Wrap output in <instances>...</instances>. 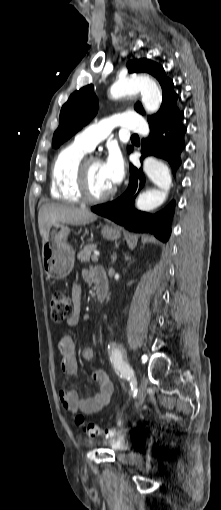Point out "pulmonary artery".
<instances>
[{
	"mask_svg": "<svg viewBox=\"0 0 221 510\" xmlns=\"http://www.w3.org/2000/svg\"><path fill=\"white\" fill-rule=\"evenodd\" d=\"M115 126L138 133L147 132V124L138 113L125 112L89 125L76 135L75 142L91 151Z\"/></svg>",
	"mask_w": 221,
	"mask_h": 510,
	"instance_id": "e3ab8cb5",
	"label": "pulmonary artery"
}]
</instances>
